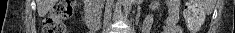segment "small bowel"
<instances>
[{
  "instance_id": "small-bowel-1",
  "label": "small bowel",
  "mask_w": 235,
  "mask_h": 33,
  "mask_svg": "<svg viewBox=\"0 0 235 33\" xmlns=\"http://www.w3.org/2000/svg\"><path fill=\"white\" fill-rule=\"evenodd\" d=\"M168 15L162 26L160 33H182V29L179 26V1L169 0L167 2ZM153 24V17L147 16L143 23V33H149Z\"/></svg>"
}]
</instances>
